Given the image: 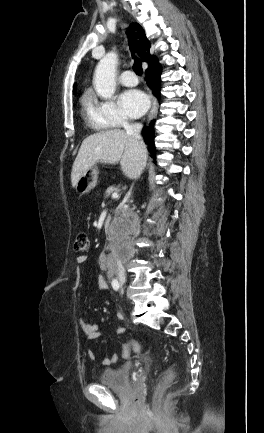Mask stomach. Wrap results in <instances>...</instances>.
<instances>
[{
    "label": "stomach",
    "instance_id": "obj_1",
    "mask_svg": "<svg viewBox=\"0 0 264 433\" xmlns=\"http://www.w3.org/2000/svg\"><path fill=\"white\" fill-rule=\"evenodd\" d=\"M98 168L96 165L90 167L77 181L75 186L79 194H85L91 191L97 184Z\"/></svg>",
    "mask_w": 264,
    "mask_h": 433
}]
</instances>
